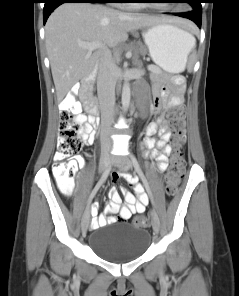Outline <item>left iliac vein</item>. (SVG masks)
I'll list each match as a JSON object with an SVG mask.
<instances>
[{
	"mask_svg": "<svg viewBox=\"0 0 239 296\" xmlns=\"http://www.w3.org/2000/svg\"><path fill=\"white\" fill-rule=\"evenodd\" d=\"M131 166V162L126 159L120 167L123 170H128L131 168ZM151 223L155 234H158L160 229V220L155 210H151Z\"/></svg>",
	"mask_w": 239,
	"mask_h": 296,
	"instance_id": "4c4485c4",
	"label": "left iliac vein"
}]
</instances>
